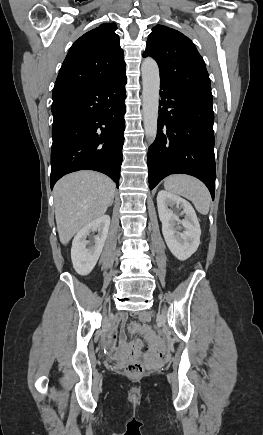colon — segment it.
<instances>
[{
	"label": "colon",
	"instance_id": "obj_1",
	"mask_svg": "<svg viewBox=\"0 0 263 435\" xmlns=\"http://www.w3.org/2000/svg\"><path fill=\"white\" fill-rule=\"evenodd\" d=\"M153 328H154L155 332H160L161 335L163 334V331L159 327L158 324H154ZM160 341L162 343V349H163V340H162V338L160 339ZM153 358H154V356H153ZM124 372L129 377L137 378V377H140V376L143 375V373L145 372V367H144V365L141 362H130V363H128L124 367Z\"/></svg>",
	"mask_w": 263,
	"mask_h": 435
}]
</instances>
